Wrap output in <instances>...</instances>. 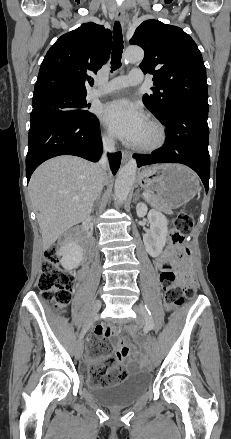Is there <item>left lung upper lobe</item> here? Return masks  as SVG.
<instances>
[{
	"label": "left lung upper lobe",
	"mask_w": 231,
	"mask_h": 439,
	"mask_svg": "<svg viewBox=\"0 0 231 439\" xmlns=\"http://www.w3.org/2000/svg\"><path fill=\"white\" fill-rule=\"evenodd\" d=\"M130 44L144 49L142 71L153 75L152 94L143 96L144 105L161 118L173 105L187 101H206V68L200 50L181 28L158 20L141 23Z\"/></svg>",
	"instance_id": "obj_1"
}]
</instances>
